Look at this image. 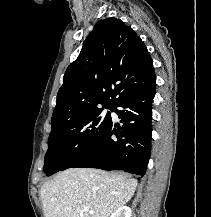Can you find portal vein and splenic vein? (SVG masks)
<instances>
[{
    "instance_id": "18ae733b",
    "label": "portal vein and splenic vein",
    "mask_w": 211,
    "mask_h": 217,
    "mask_svg": "<svg viewBox=\"0 0 211 217\" xmlns=\"http://www.w3.org/2000/svg\"><path fill=\"white\" fill-rule=\"evenodd\" d=\"M83 211H86V212H87V211H89V208L84 206V207H83ZM89 212H90V213H93V211H89Z\"/></svg>"
}]
</instances>
